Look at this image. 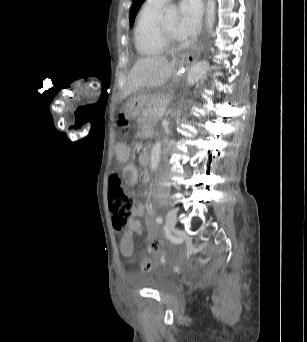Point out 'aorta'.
Masks as SVG:
<instances>
[{
	"label": "aorta",
	"instance_id": "762f6f07",
	"mask_svg": "<svg viewBox=\"0 0 307 342\" xmlns=\"http://www.w3.org/2000/svg\"><path fill=\"white\" fill-rule=\"evenodd\" d=\"M206 16H205V24L207 28V32H212L214 28V22H215V16H216V2L215 0H207L206 2ZM164 12V22L166 24H177L178 20H180L179 12L173 4H168V6H165L163 8ZM209 68L208 62H198V64H194L192 66L188 76H187V86H194L195 82H198V80H201L203 78L205 72H207ZM161 152H162V146L161 142H156L154 144L152 150H151V156H150V168L152 172H156L160 160H161Z\"/></svg>",
	"mask_w": 307,
	"mask_h": 342
}]
</instances>
